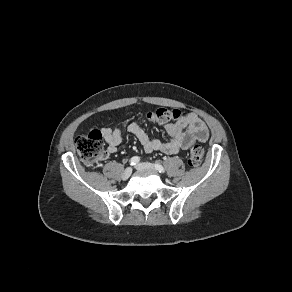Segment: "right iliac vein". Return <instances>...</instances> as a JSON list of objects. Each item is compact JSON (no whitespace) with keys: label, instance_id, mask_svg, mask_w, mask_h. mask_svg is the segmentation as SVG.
I'll use <instances>...</instances> for the list:
<instances>
[{"label":"right iliac vein","instance_id":"obj_1","mask_svg":"<svg viewBox=\"0 0 292 292\" xmlns=\"http://www.w3.org/2000/svg\"><path fill=\"white\" fill-rule=\"evenodd\" d=\"M131 173H132V168L130 167L126 168L124 172L122 173V179L127 180L131 176Z\"/></svg>","mask_w":292,"mask_h":292}]
</instances>
